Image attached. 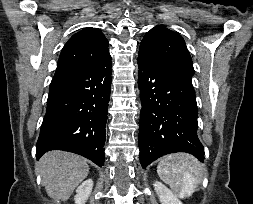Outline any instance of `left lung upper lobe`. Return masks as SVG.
<instances>
[{"label": "left lung upper lobe", "mask_w": 253, "mask_h": 204, "mask_svg": "<svg viewBox=\"0 0 253 204\" xmlns=\"http://www.w3.org/2000/svg\"><path fill=\"white\" fill-rule=\"evenodd\" d=\"M139 54L191 78L192 59L182 36L164 26H156L141 41Z\"/></svg>", "instance_id": "1"}]
</instances>
